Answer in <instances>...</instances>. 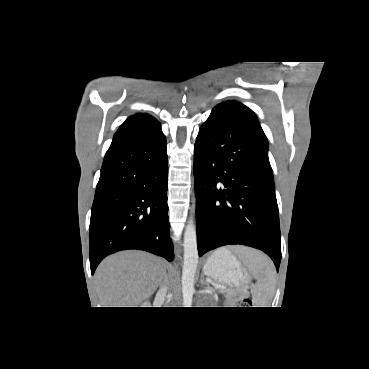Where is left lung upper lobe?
Instances as JSON below:
<instances>
[{"instance_id":"left-lung-upper-lobe-1","label":"left lung upper lobe","mask_w":369,"mask_h":369,"mask_svg":"<svg viewBox=\"0 0 369 369\" xmlns=\"http://www.w3.org/2000/svg\"><path fill=\"white\" fill-rule=\"evenodd\" d=\"M213 110H227L229 112L235 113L236 115L240 116L250 124L254 125L259 130V132L266 138L256 115L251 109H249L245 105L235 101H228L217 105Z\"/></svg>"}]
</instances>
